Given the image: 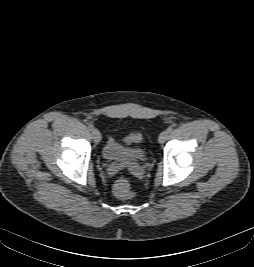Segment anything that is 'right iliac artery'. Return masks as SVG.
<instances>
[{"label":"right iliac artery","instance_id":"right-iliac-artery-1","mask_svg":"<svg viewBox=\"0 0 254 267\" xmlns=\"http://www.w3.org/2000/svg\"><path fill=\"white\" fill-rule=\"evenodd\" d=\"M88 128H89V130H93L94 126L92 124H88Z\"/></svg>","mask_w":254,"mask_h":267}]
</instances>
